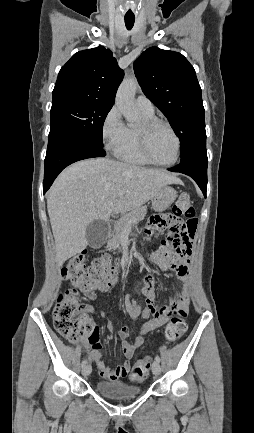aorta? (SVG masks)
I'll return each mask as SVG.
<instances>
[{
	"mask_svg": "<svg viewBox=\"0 0 254 433\" xmlns=\"http://www.w3.org/2000/svg\"><path fill=\"white\" fill-rule=\"evenodd\" d=\"M138 83L134 77L123 80L116 94L115 103L125 119L135 123L139 119V113L135 108L134 97Z\"/></svg>",
	"mask_w": 254,
	"mask_h": 433,
	"instance_id": "aorta-1",
	"label": "aorta"
}]
</instances>
